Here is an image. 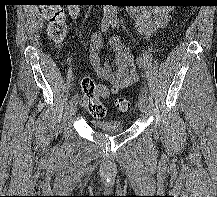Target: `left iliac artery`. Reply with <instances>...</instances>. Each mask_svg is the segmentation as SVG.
Here are the masks:
<instances>
[{
    "instance_id": "44dca946",
    "label": "left iliac artery",
    "mask_w": 217,
    "mask_h": 197,
    "mask_svg": "<svg viewBox=\"0 0 217 197\" xmlns=\"http://www.w3.org/2000/svg\"><path fill=\"white\" fill-rule=\"evenodd\" d=\"M112 27L114 28L116 26V21H112L111 22ZM136 63L138 65V67L144 72V73H148L151 69V62L150 60H148L146 57H139L136 59ZM141 92L145 94V96H147L148 93V89L147 86L144 85L141 89Z\"/></svg>"
}]
</instances>
